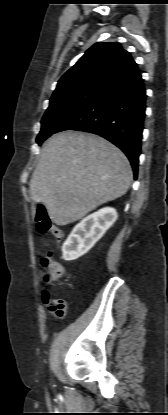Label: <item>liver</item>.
Instances as JSON below:
<instances>
[{"label": "liver", "mask_w": 168, "mask_h": 415, "mask_svg": "<svg viewBox=\"0 0 168 415\" xmlns=\"http://www.w3.org/2000/svg\"><path fill=\"white\" fill-rule=\"evenodd\" d=\"M132 179L130 163L115 145L94 134L66 131L44 144L30 194L45 205L52 222L64 226L123 196Z\"/></svg>", "instance_id": "obj_1"}]
</instances>
